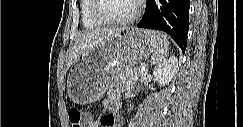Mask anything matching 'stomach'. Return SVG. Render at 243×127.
<instances>
[{"instance_id":"1","label":"stomach","mask_w":243,"mask_h":127,"mask_svg":"<svg viewBox=\"0 0 243 127\" xmlns=\"http://www.w3.org/2000/svg\"><path fill=\"white\" fill-rule=\"evenodd\" d=\"M153 34L125 28L81 55L69 69V98L78 104H89L101 98L116 73L141 63L154 51Z\"/></svg>"}]
</instances>
